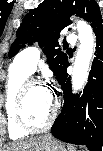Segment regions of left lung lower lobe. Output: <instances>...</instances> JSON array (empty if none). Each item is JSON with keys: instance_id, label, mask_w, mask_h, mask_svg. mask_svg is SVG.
<instances>
[{"instance_id": "1", "label": "left lung lower lobe", "mask_w": 103, "mask_h": 151, "mask_svg": "<svg viewBox=\"0 0 103 151\" xmlns=\"http://www.w3.org/2000/svg\"><path fill=\"white\" fill-rule=\"evenodd\" d=\"M96 51L88 83L81 96L73 95L67 62L56 79L64 92V106L55 120L52 134L68 143L101 151L103 144V30H94Z\"/></svg>"}]
</instances>
